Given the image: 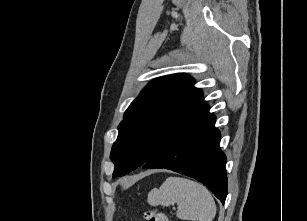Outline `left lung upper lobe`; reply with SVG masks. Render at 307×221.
I'll use <instances>...</instances> for the list:
<instances>
[{"instance_id":"left-lung-upper-lobe-1","label":"left lung upper lobe","mask_w":307,"mask_h":221,"mask_svg":"<svg viewBox=\"0 0 307 221\" xmlns=\"http://www.w3.org/2000/svg\"><path fill=\"white\" fill-rule=\"evenodd\" d=\"M185 74L151 81L130 104L118 126L119 135L110 158L113 177L143 166L178 134L202 119L209 105Z\"/></svg>"}]
</instances>
